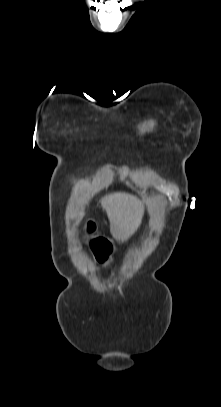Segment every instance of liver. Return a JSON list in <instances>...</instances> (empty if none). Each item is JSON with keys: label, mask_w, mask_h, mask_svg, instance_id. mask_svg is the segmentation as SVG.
Segmentation results:
<instances>
[{"label": "liver", "mask_w": 221, "mask_h": 407, "mask_svg": "<svg viewBox=\"0 0 221 407\" xmlns=\"http://www.w3.org/2000/svg\"><path fill=\"white\" fill-rule=\"evenodd\" d=\"M110 221V232L118 242L127 241L141 224L144 208L139 199L125 193H113L101 199Z\"/></svg>", "instance_id": "1"}]
</instances>
